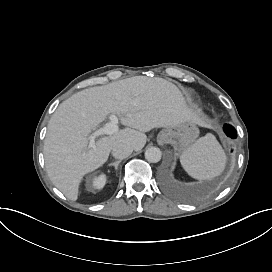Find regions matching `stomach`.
I'll return each mask as SVG.
<instances>
[{
	"mask_svg": "<svg viewBox=\"0 0 272 272\" xmlns=\"http://www.w3.org/2000/svg\"><path fill=\"white\" fill-rule=\"evenodd\" d=\"M199 135L198 127L191 122L179 123L175 126H168L158 136L159 144L178 143L180 149L190 146Z\"/></svg>",
	"mask_w": 272,
	"mask_h": 272,
	"instance_id": "obj_1",
	"label": "stomach"
}]
</instances>
